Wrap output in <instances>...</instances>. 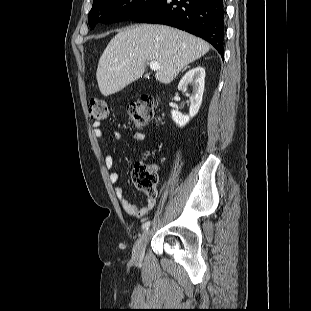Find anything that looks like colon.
Returning <instances> with one entry per match:
<instances>
[{"instance_id":"obj_1","label":"colon","mask_w":311,"mask_h":311,"mask_svg":"<svg viewBox=\"0 0 311 311\" xmlns=\"http://www.w3.org/2000/svg\"><path fill=\"white\" fill-rule=\"evenodd\" d=\"M127 113L136 126H144L156 118L153 99L149 95L142 96L138 101L127 106ZM109 111L104 99L96 97L89 104V117L93 121H105ZM135 186L150 197L157 193V175L148 165H135L132 171Z\"/></svg>"}]
</instances>
